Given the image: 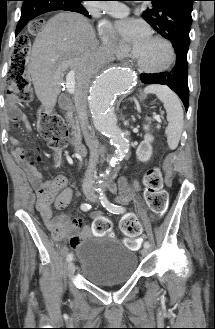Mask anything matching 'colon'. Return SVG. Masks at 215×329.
Instances as JSON below:
<instances>
[{"instance_id":"colon-1","label":"colon","mask_w":215,"mask_h":329,"mask_svg":"<svg viewBox=\"0 0 215 329\" xmlns=\"http://www.w3.org/2000/svg\"><path fill=\"white\" fill-rule=\"evenodd\" d=\"M50 20L49 14H40L39 19H34L30 25V32H43ZM32 37L20 36L16 38V45L12 53L11 66L9 71L8 91L10 93L9 102H6V109H23V103H27L31 98L28 81L25 77L26 55ZM38 129L40 134L56 148H63L68 141L65 123L60 115L55 112L42 110L39 112ZM145 199L149 208L153 211V217H169L167 209L168 196L163 189V180L160 170L157 167L149 168L144 175ZM59 191L50 190L43 193L45 204L58 201ZM97 220H108L98 218ZM111 225V223H110ZM121 230L127 237L126 244L130 247H137L138 242L134 240L141 233V225L134 216H127L121 222ZM55 235L61 234V229L57 226L53 229Z\"/></svg>"}]
</instances>
